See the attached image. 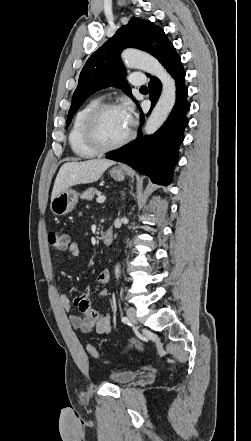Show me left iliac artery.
<instances>
[{
    "label": "left iliac artery",
    "instance_id": "44dca946",
    "mask_svg": "<svg viewBox=\"0 0 251 441\" xmlns=\"http://www.w3.org/2000/svg\"><path fill=\"white\" fill-rule=\"evenodd\" d=\"M121 320H122V322L125 323V324H128V325L131 324V323H130V320H129L128 317H126V316H123V317L121 318Z\"/></svg>",
    "mask_w": 251,
    "mask_h": 441
}]
</instances>
